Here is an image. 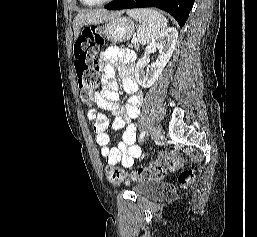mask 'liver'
Here are the masks:
<instances>
[{
  "mask_svg": "<svg viewBox=\"0 0 257 237\" xmlns=\"http://www.w3.org/2000/svg\"><path fill=\"white\" fill-rule=\"evenodd\" d=\"M120 15L121 12L109 13L103 10L78 13L73 20L74 39L78 38L80 30L84 25L101 23Z\"/></svg>",
  "mask_w": 257,
  "mask_h": 237,
  "instance_id": "liver-1",
  "label": "liver"
}]
</instances>
